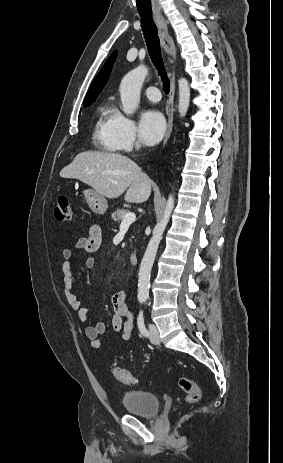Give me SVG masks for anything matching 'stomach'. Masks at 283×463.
I'll use <instances>...</instances> for the list:
<instances>
[{"label": "stomach", "instance_id": "obj_1", "mask_svg": "<svg viewBox=\"0 0 283 463\" xmlns=\"http://www.w3.org/2000/svg\"><path fill=\"white\" fill-rule=\"evenodd\" d=\"M85 201L89 208L96 214H104L108 209L106 198L94 189H85L83 191Z\"/></svg>", "mask_w": 283, "mask_h": 463}]
</instances>
